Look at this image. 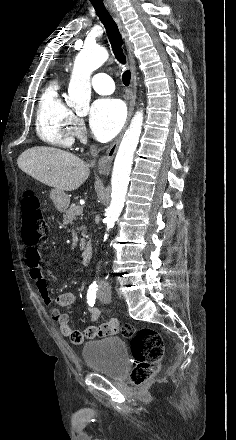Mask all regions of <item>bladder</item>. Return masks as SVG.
Returning a JSON list of instances; mask_svg holds the SVG:
<instances>
[{"instance_id":"1","label":"bladder","mask_w":236,"mask_h":440,"mask_svg":"<svg viewBox=\"0 0 236 440\" xmlns=\"http://www.w3.org/2000/svg\"><path fill=\"white\" fill-rule=\"evenodd\" d=\"M81 352L89 370L102 373L109 378H119L129 365L127 346L124 340L117 336L86 342Z\"/></svg>"}]
</instances>
